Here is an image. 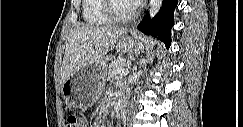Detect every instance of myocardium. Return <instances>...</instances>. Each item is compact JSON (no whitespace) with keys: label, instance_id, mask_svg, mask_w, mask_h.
<instances>
[{"label":"myocardium","instance_id":"myocardium-1","mask_svg":"<svg viewBox=\"0 0 243 127\" xmlns=\"http://www.w3.org/2000/svg\"><path fill=\"white\" fill-rule=\"evenodd\" d=\"M118 0H105V10L107 14L116 22H127L132 20L137 14V6L131 3L130 11L126 14H122L117 10Z\"/></svg>","mask_w":243,"mask_h":127}]
</instances>
